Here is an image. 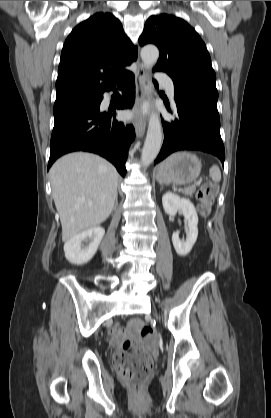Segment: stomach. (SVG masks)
<instances>
[{
    "instance_id": "obj_1",
    "label": "stomach",
    "mask_w": 271,
    "mask_h": 418,
    "mask_svg": "<svg viewBox=\"0 0 271 418\" xmlns=\"http://www.w3.org/2000/svg\"><path fill=\"white\" fill-rule=\"evenodd\" d=\"M201 161L190 152H177L157 167V180L163 184H188L195 181L201 172Z\"/></svg>"
}]
</instances>
